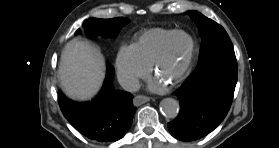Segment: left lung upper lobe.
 I'll return each mask as SVG.
<instances>
[{
	"mask_svg": "<svg viewBox=\"0 0 279 148\" xmlns=\"http://www.w3.org/2000/svg\"><path fill=\"white\" fill-rule=\"evenodd\" d=\"M187 13L198 26L202 37L199 61L216 53L234 51L232 42L221 25L197 11Z\"/></svg>",
	"mask_w": 279,
	"mask_h": 148,
	"instance_id": "1",
	"label": "left lung upper lobe"
}]
</instances>
